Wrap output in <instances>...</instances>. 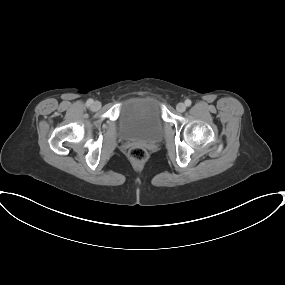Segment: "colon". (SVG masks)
I'll return each mask as SVG.
<instances>
[{"label": "colon", "mask_w": 285, "mask_h": 285, "mask_svg": "<svg viewBox=\"0 0 285 285\" xmlns=\"http://www.w3.org/2000/svg\"><path fill=\"white\" fill-rule=\"evenodd\" d=\"M129 157L133 161L143 162L147 159V151L141 146H135L129 150Z\"/></svg>", "instance_id": "1"}]
</instances>
